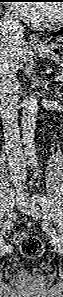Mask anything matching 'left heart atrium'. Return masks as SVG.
<instances>
[{
  "label": "left heart atrium",
  "mask_w": 63,
  "mask_h": 297,
  "mask_svg": "<svg viewBox=\"0 0 63 297\" xmlns=\"http://www.w3.org/2000/svg\"><path fill=\"white\" fill-rule=\"evenodd\" d=\"M13 6L18 13L34 23L46 21L48 10L42 4L15 3Z\"/></svg>",
  "instance_id": "39dd6f15"
}]
</instances>
